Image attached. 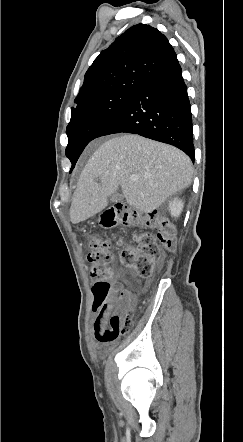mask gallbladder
<instances>
[{
    "instance_id": "gallbladder-1",
    "label": "gallbladder",
    "mask_w": 243,
    "mask_h": 442,
    "mask_svg": "<svg viewBox=\"0 0 243 442\" xmlns=\"http://www.w3.org/2000/svg\"><path fill=\"white\" fill-rule=\"evenodd\" d=\"M122 199H123V196L121 194H119V193H115L111 197V200H113V201H120Z\"/></svg>"
}]
</instances>
